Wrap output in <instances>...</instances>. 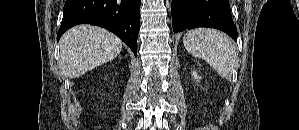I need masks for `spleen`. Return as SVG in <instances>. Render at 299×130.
I'll return each mask as SVG.
<instances>
[{"instance_id": "obj_1", "label": "spleen", "mask_w": 299, "mask_h": 130, "mask_svg": "<svg viewBox=\"0 0 299 130\" xmlns=\"http://www.w3.org/2000/svg\"><path fill=\"white\" fill-rule=\"evenodd\" d=\"M183 43L191 55L205 60L221 77H230L237 52L226 34L210 28H196L184 35Z\"/></svg>"}]
</instances>
